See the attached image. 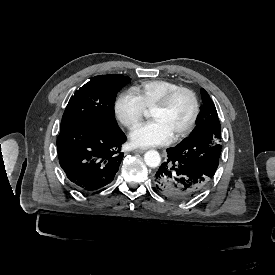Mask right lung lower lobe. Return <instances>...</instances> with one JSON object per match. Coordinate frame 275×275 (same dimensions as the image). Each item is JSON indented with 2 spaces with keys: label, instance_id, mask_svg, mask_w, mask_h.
<instances>
[{
  "label": "right lung lower lobe",
  "instance_id": "right-lung-lower-lobe-1",
  "mask_svg": "<svg viewBox=\"0 0 275 275\" xmlns=\"http://www.w3.org/2000/svg\"><path fill=\"white\" fill-rule=\"evenodd\" d=\"M123 131H98L88 125H61L57 138L59 163L72 185L93 192L113 181L123 158Z\"/></svg>",
  "mask_w": 275,
  "mask_h": 275
}]
</instances>
